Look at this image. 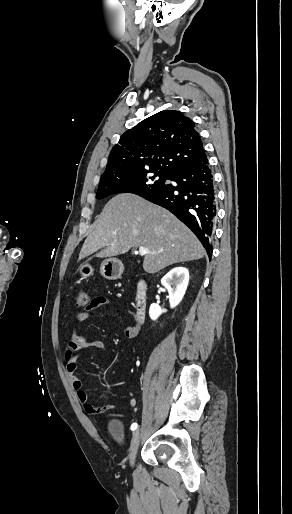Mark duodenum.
Instances as JSON below:
<instances>
[{"instance_id":"410a0bca","label":"duodenum","mask_w":292,"mask_h":514,"mask_svg":"<svg viewBox=\"0 0 292 514\" xmlns=\"http://www.w3.org/2000/svg\"><path fill=\"white\" fill-rule=\"evenodd\" d=\"M147 309V284L145 281H140L137 286V293L135 298V317L134 320L138 325L144 321Z\"/></svg>"}]
</instances>
